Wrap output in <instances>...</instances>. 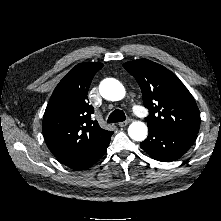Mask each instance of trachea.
<instances>
[{"mask_svg":"<svg viewBox=\"0 0 221 221\" xmlns=\"http://www.w3.org/2000/svg\"><path fill=\"white\" fill-rule=\"evenodd\" d=\"M125 119V113L120 109H116L109 115L107 123L122 122L125 121Z\"/></svg>","mask_w":221,"mask_h":221,"instance_id":"1","label":"trachea"}]
</instances>
